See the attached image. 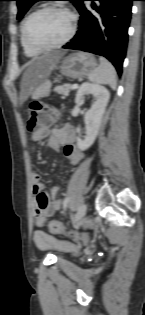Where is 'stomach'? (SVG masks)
<instances>
[{"instance_id":"1","label":"stomach","mask_w":145,"mask_h":315,"mask_svg":"<svg viewBox=\"0 0 145 315\" xmlns=\"http://www.w3.org/2000/svg\"><path fill=\"white\" fill-rule=\"evenodd\" d=\"M97 66L93 55L84 52L74 53L60 61L58 69L61 74L77 79L88 76Z\"/></svg>"}]
</instances>
